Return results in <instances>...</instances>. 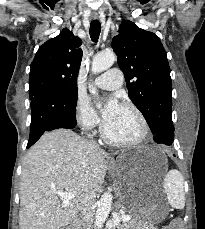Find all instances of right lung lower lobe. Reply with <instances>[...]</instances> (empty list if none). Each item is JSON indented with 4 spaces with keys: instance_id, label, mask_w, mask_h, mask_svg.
Listing matches in <instances>:
<instances>
[{
    "instance_id": "1",
    "label": "right lung lower lobe",
    "mask_w": 205,
    "mask_h": 229,
    "mask_svg": "<svg viewBox=\"0 0 205 229\" xmlns=\"http://www.w3.org/2000/svg\"><path fill=\"white\" fill-rule=\"evenodd\" d=\"M30 100L32 117L27 148L32 146L46 131L76 126L77 97L70 92L59 89L49 90Z\"/></svg>"
}]
</instances>
